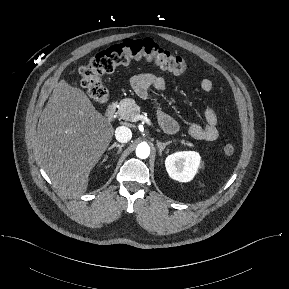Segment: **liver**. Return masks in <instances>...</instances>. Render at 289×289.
<instances>
[{
  "label": "liver",
  "instance_id": "1",
  "mask_svg": "<svg viewBox=\"0 0 289 289\" xmlns=\"http://www.w3.org/2000/svg\"><path fill=\"white\" fill-rule=\"evenodd\" d=\"M113 126L87 95L65 80L56 84L37 126L35 154L52 183L68 196L86 192Z\"/></svg>",
  "mask_w": 289,
  "mask_h": 289
}]
</instances>
